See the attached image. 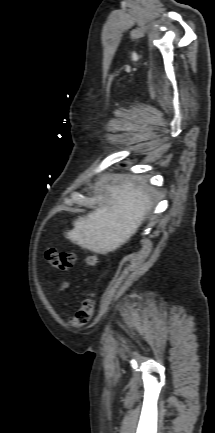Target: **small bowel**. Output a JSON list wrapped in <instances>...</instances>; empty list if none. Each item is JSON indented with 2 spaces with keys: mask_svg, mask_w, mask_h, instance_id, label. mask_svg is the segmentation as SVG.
<instances>
[{
  "mask_svg": "<svg viewBox=\"0 0 215 433\" xmlns=\"http://www.w3.org/2000/svg\"><path fill=\"white\" fill-rule=\"evenodd\" d=\"M67 286H68V285H67L66 283L63 284L62 287H61V290H64L65 288H67Z\"/></svg>",
  "mask_w": 215,
  "mask_h": 433,
  "instance_id": "small-bowel-1",
  "label": "small bowel"
}]
</instances>
